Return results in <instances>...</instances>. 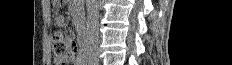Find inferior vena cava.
Masks as SVG:
<instances>
[{"mask_svg": "<svg viewBox=\"0 0 232 65\" xmlns=\"http://www.w3.org/2000/svg\"><path fill=\"white\" fill-rule=\"evenodd\" d=\"M99 0H86V48L89 60L98 59Z\"/></svg>", "mask_w": 232, "mask_h": 65, "instance_id": "inferior-vena-cava-1", "label": "inferior vena cava"}]
</instances>
